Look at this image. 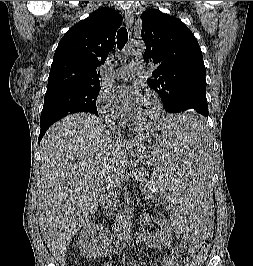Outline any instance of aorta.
I'll list each match as a JSON object with an SVG mask.
<instances>
[{
  "mask_svg": "<svg viewBox=\"0 0 253 266\" xmlns=\"http://www.w3.org/2000/svg\"><path fill=\"white\" fill-rule=\"evenodd\" d=\"M145 51V44L143 41H131L123 51L125 57L130 55H141ZM118 221L122 229V237L124 240H130L131 234V220L128 215L127 208L122 209L118 215Z\"/></svg>",
  "mask_w": 253,
  "mask_h": 266,
  "instance_id": "762f6f07",
  "label": "aorta"
}]
</instances>
